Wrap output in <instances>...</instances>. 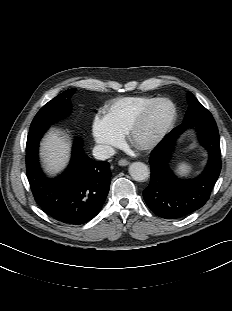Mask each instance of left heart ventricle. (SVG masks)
<instances>
[{
	"label": "left heart ventricle",
	"mask_w": 232,
	"mask_h": 311,
	"mask_svg": "<svg viewBox=\"0 0 232 311\" xmlns=\"http://www.w3.org/2000/svg\"><path fill=\"white\" fill-rule=\"evenodd\" d=\"M171 108L168 104H160L148 116L136 135L138 142H144L154 136L169 117Z\"/></svg>",
	"instance_id": "b2bd125f"
}]
</instances>
